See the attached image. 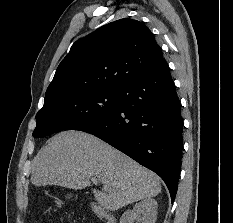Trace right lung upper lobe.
Masks as SVG:
<instances>
[{"label":"right lung upper lobe","mask_w":233,"mask_h":223,"mask_svg":"<svg viewBox=\"0 0 233 223\" xmlns=\"http://www.w3.org/2000/svg\"><path fill=\"white\" fill-rule=\"evenodd\" d=\"M153 33L141 22L120 19L71 47L50 83L45 102L92 88H121L167 63Z\"/></svg>","instance_id":"obj_1"}]
</instances>
